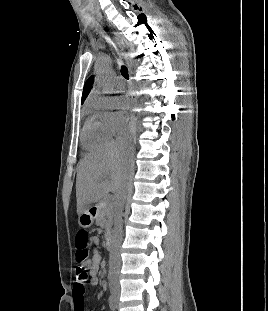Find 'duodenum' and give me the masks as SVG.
Returning <instances> with one entry per match:
<instances>
[{"mask_svg":"<svg viewBox=\"0 0 268 311\" xmlns=\"http://www.w3.org/2000/svg\"><path fill=\"white\" fill-rule=\"evenodd\" d=\"M105 246L107 250L111 251L114 247V238L112 236H108L105 240Z\"/></svg>","mask_w":268,"mask_h":311,"instance_id":"410a0bca","label":"duodenum"}]
</instances>
